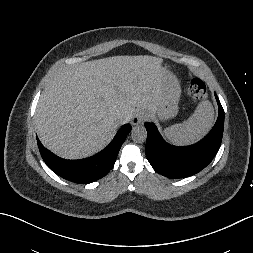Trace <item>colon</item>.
I'll list each match as a JSON object with an SVG mask.
<instances>
[{"label": "colon", "mask_w": 253, "mask_h": 253, "mask_svg": "<svg viewBox=\"0 0 253 253\" xmlns=\"http://www.w3.org/2000/svg\"><path fill=\"white\" fill-rule=\"evenodd\" d=\"M188 91L195 101H201L207 97V86L205 82L197 76L190 77Z\"/></svg>", "instance_id": "5ec220e1"}]
</instances>
